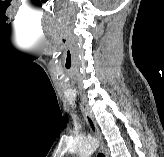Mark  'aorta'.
<instances>
[{
  "label": "aorta",
  "mask_w": 164,
  "mask_h": 157,
  "mask_svg": "<svg viewBox=\"0 0 164 157\" xmlns=\"http://www.w3.org/2000/svg\"><path fill=\"white\" fill-rule=\"evenodd\" d=\"M98 147L99 142L95 139L81 142L78 147L79 157H90Z\"/></svg>",
  "instance_id": "1"
}]
</instances>
